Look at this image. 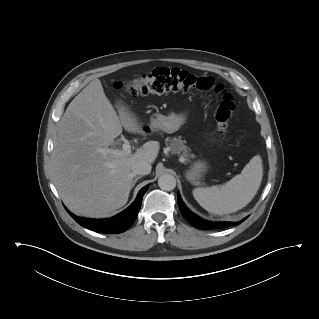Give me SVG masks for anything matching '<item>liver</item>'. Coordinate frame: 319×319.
Returning a JSON list of instances; mask_svg holds the SVG:
<instances>
[{"mask_svg": "<svg viewBox=\"0 0 319 319\" xmlns=\"http://www.w3.org/2000/svg\"><path fill=\"white\" fill-rule=\"evenodd\" d=\"M119 116L99 79L91 81L69 104L59 121L52 153L56 189L73 213L106 218L123 207L130 194L137 160L153 163L159 143L149 141L132 155L101 152L114 145L123 130L146 135L136 117L117 105Z\"/></svg>", "mask_w": 319, "mask_h": 319, "instance_id": "1", "label": "liver"}]
</instances>
